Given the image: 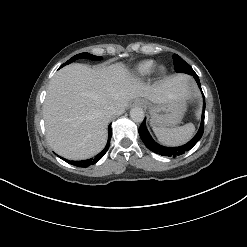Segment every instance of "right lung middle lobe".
<instances>
[{"label": "right lung middle lobe", "mask_w": 247, "mask_h": 247, "mask_svg": "<svg viewBox=\"0 0 247 247\" xmlns=\"http://www.w3.org/2000/svg\"><path fill=\"white\" fill-rule=\"evenodd\" d=\"M80 58H89V59L95 60V61H98V60L102 59V57H100V56H94V55H91L89 53H80V54H77V55L73 56L66 63L61 65L60 68L65 66V65H67V64H69V63H71V62H73V61H75V60H77V59H80Z\"/></svg>", "instance_id": "dd1d6c3e"}]
</instances>
